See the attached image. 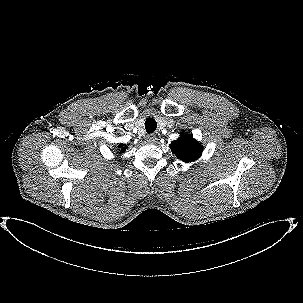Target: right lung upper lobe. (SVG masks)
Here are the masks:
<instances>
[{"mask_svg": "<svg viewBox=\"0 0 303 303\" xmlns=\"http://www.w3.org/2000/svg\"><path fill=\"white\" fill-rule=\"evenodd\" d=\"M119 148H121V152H123L127 149V146L125 144H121V145H119Z\"/></svg>", "mask_w": 303, "mask_h": 303, "instance_id": "obj_1", "label": "right lung upper lobe"}]
</instances>
